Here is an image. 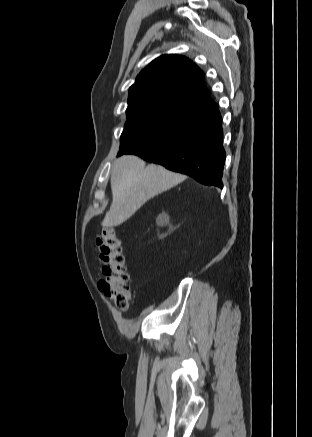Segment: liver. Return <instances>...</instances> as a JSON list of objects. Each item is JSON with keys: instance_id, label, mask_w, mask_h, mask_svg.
<instances>
[{"instance_id": "liver-1", "label": "liver", "mask_w": 312, "mask_h": 437, "mask_svg": "<svg viewBox=\"0 0 312 437\" xmlns=\"http://www.w3.org/2000/svg\"><path fill=\"white\" fill-rule=\"evenodd\" d=\"M186 176L173 173L160 165H148L134 155H124L112 165V204L103 226L114 227L127 221L154 196L183 182Z\"/></svg>"}]
</instances>
